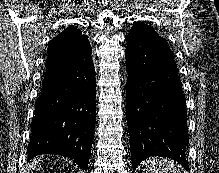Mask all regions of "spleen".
<instances>
[{
  "mask_svg": "<svg viewBox=\"0 0 219 173\" xmlns=\"http://www.w3.org/2000/svg\"><path fill=\"white\" fill-rule=\"evenodd\" d=\"M144 165L149 173H181L173 161L165 158H149Z\"/></svg>",
  "mask_w": 219,
  "mask_h": 173,
  "instance_id": "spleen-1",
  "label": "spleen"
}]
</instances>
